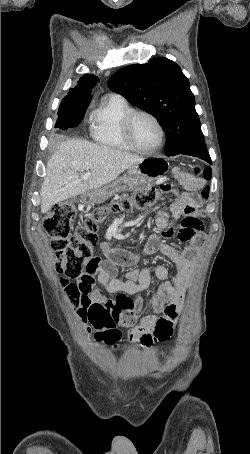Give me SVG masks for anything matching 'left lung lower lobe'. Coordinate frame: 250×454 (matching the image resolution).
I'll list each match as a JSON object with an SVG mask.
<instances>
[{"mask_svg":"<svg viewBox=\"0 0 250 454\" xmlns=\"http://www.w3.org/2000/svg\"><path fill=\"white\" fill-rule=\"evenodd\" d=\"M178 154H184V155H190V156L199 157V158L205 160L206 162L212 164L210 155H209V153H208V151L206 149L205 144L196 145L195 147H193V148H191L189 150H186V151L179 152Z\"/></svg>","mask_w":250,"mask_h":454,"instance_id":"obj_1","label":"left lung lower lobe"}]
</instances>
